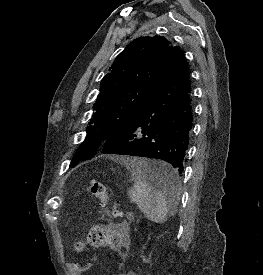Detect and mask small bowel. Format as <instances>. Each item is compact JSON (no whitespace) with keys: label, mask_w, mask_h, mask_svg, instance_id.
I'll return each instance as SVG.
<instances>
[{"label":"small bowel","mask_w":263,"mask_h":275,"mask_svg":"<svg viewBox=\"0 0 263 275\" xmlns=\"http://www.w3.org/2000/svg\"><path fill=\"white\" fill-rule=\"evenodd\" d=\"M110 228L116 233L118 238V243L115 248L118 251L119 257L124 259L127 256V251L130 246V226L126 221H120L111 223ZM121 275H137L135 273L129 272Z\"/></svg>","instance_id":"small-bowel-1"}]
</instances>
